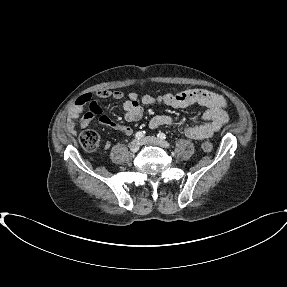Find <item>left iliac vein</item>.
Wrapping results in <instances>:
<instances>
[{"instance_id": "left-iliac-vein-1", "label": "left iliac vein", "mask_w": 287, "mask_h": 287, "mask_svg": "<svg viewBox=\"0 0 287 287\" xmlns=\"http://www.w3.org/2000/svg\"><path fill=\"white\" fill-rule=\"evenodd\" d=\"M142 144H155L160 147L168 148L169 143L154 136H148L141 140Z\"/></svg>"}]
</instances>
